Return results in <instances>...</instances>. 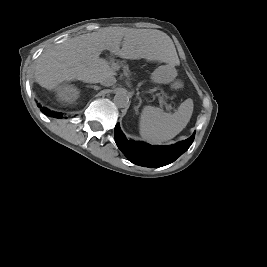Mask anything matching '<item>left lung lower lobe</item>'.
<instances>
[{
    "mask_svg": "<svg viewBox=\"0 0 267 267\" xmlns=\"http://www.w3.org/2000/svg\"><path fill=\"white\" fill-rule=\"evenodd\" d=\"M115 141L118 148L134 164L147 167H161L175 161L192 144L195 135L172 146H151L126 139L119 124L115 127Z\"/></svg>",
    "mask_w": 267,
    "mask_h": 267,
    "instance_id": "left-lung-lower-lobe-1",
    "label": "left lung lower lobe"
}]
</instances>
